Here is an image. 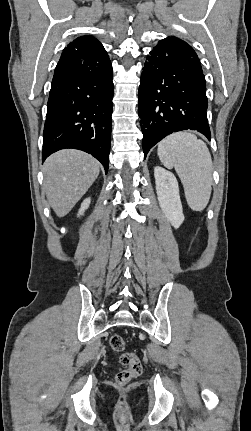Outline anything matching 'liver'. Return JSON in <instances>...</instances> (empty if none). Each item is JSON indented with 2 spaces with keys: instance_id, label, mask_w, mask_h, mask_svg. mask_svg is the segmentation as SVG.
Returning <instances> with one entry per match:
<instances>
[{
  "instance_id": "6515ba94",
  "label": "liver",
  "mask_w": 251,
  "mask_h": 431,
  "mask_svg": "<svg viewBox=\"0 0 251 431\" xmlns=\"http://www.w3.org/2000/svg\"><path fill=\"white\" fill-rule=\"evenodd\" d=\"M44 190L58 217L67 215L99 175L100 164L91 155L74 149L52 154L44 163Z\"/></svg>"
}]
</instances>
